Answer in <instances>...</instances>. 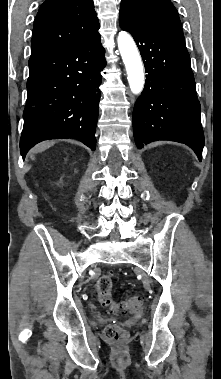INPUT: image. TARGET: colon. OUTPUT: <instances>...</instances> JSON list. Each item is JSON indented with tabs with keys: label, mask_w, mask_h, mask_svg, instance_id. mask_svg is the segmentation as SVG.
Here are the masks:
<instances>
[{
	"label": "colon",
	"mask_w": 221,
	"mask_h": 379,
	"mask_svg": "<svg viewBox=\"0 0 221 379\" xmlns=\"http://www.w3.org/2000/svg\"><path fill=\"white\" fill-rule=\"evenodd\" d=\"M112 277L110 274L101 276L97 282L98 300L102 306H107L113 313L128 316L139 308L142 302L140 295L127 296L121 301H114L111 297ZM105 337L114 342L123 341L128 337L127 332L118 324L111 323L106 326Z\"/></svg>",
	"instance_id": "obj_1"
}]
</instances>
